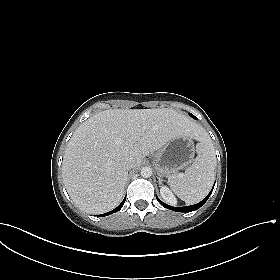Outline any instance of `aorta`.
Segmentation results:
<instances>
[{
    "label": "aorta",
    "mask_w": 280,
    "mask_h": 280,
    "mask_svg": "<svg viewBox=\"0 0 280 280\" xmlns=\"http://www.w3.org/2000/svg\"><path fill=\"white\" fill-rule=\"evenodd\" d=\"M152 175V169L150 167H143L141 169V176L143 178H148Z\"/></svg>",
    "instance_id": "1"
}]
</instances>
